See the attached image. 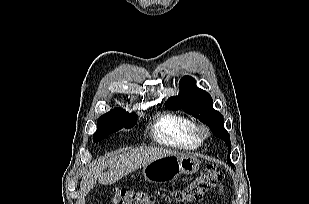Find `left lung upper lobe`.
I'll return each mask as SVG.
<instances>
[{
    "label": "left lung upper lobe",
    "mask_w": 309,
    "mask_h": 204,
    "mask_svg": "<svg viewBox=\"0 0 309 204\" xmlns=\"http://www.w3.org/2000/svg\"><path fill=\"white\" fill-rule=\"evenodd\" d=\"M180 92L165 103L167 108L184 110L201 122L205 123L214 135L223 139L231 153V142L228 132L224 128V119L221 113L214 110L213 100L209 93L196 87L195 80L191 77H183L179 82ZM227 161L233 165L230 158Z\"/></svg>",
    "instance_id": "1"
}]
</instances>
